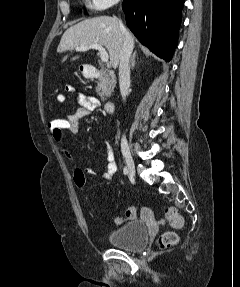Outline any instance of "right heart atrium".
I'll list each match as a JSON object with an SVG mask.
<instances>
[{
  "instance_id": "1",
  "label": "right heart atrium",
  "mask_w": 240,
  "mask_h": 287,
  "mask_svg": "<svg viewBox=\"0 0 240 287\" xmlns=\"http://www.w3.org/2000/svg\"><path fill=\"white\" fill-rule=\"evenodd\" d=\"M119 1L120 0H85V3L91 10L103 11L114 6Z\"/></svg>"
}]
</instances>
